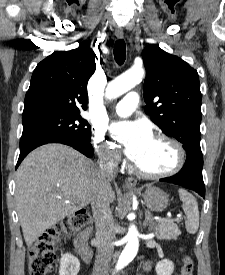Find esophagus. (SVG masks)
Here are the masks:
<instances>
[{
	"label": "esophagus",
	"instance_id": "obj_1",
	"mask_svg": "<svg viewBox=\"0 0 225 275\" xmlns=\"http://www.w3.org/2000/svg\"><path fill=\"white\" fill-rule=\"evenodd\" d=\"M115 35H116V37H117L118 39H122L123 36H124V33H123L122 28L117 27V28L115 29ZM136 183H137L136 179H134V178H132V177L128 178V179L126 180V182H125L126 187H127V188H130V189L134 188V187L136 186Z\"/></svg>",
	"mask_w": 225,
	"mask_h": 275
}]
</instances>
